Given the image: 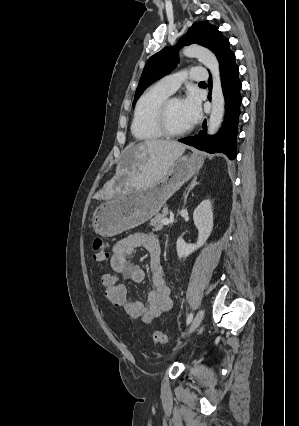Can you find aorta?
<instances>
[{"label": "aorta", "mask_w": 299, "mask_h": 426, "mask_svg": "<svg viewBox=\"0 0 299 426\" xmlns=\"http://www.w3.org/2000/svg\"><path fill=\"white\" fill-rule=\"evenodd\" d=\"M183 55L189 58H197L212 74V110L208 121V134L213 135L223 120L225 109L218 60L210 50L198 45L184 48Z\"/></svg>", "instance_id": "762f6f07"}]
</instances>
